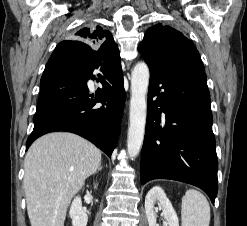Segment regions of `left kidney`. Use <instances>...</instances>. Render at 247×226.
<instances>
[{"label": "left kidney", "instance_id": "left-kidney-1", "mask_svg": "<svg viewBox=\"0 0 247 226\" xmlns=\"http://www.w3.org/2000/svg\"><path fill=\"white\" fill-rule=\"evenodd\" d=\"M156 202L162 207V214L165 219L163 222L164 226H179L177 214L170 200L167 198L164 190L158 186L150 189L145 198V213L149 226H157V210L154 207Z\"/></svg>", "mask_w": 247, "mask_h": 226}]
</instances>
